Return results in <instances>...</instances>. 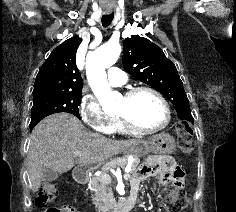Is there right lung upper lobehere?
Returning a JSON list of instances; mask_svg holds the SVG:
<instances>
[{
    "label": "right lung upper lobe",
    "instance_id": "cb5924a9",
    "mask_svg": "<svg viewBox=\"0 0 236 212\" xmlns=\"http://www.w3.org/2000/svg\"><path fill=\"white\" fill-rule=\"evenodd\" d=\"M82 38L73 36L57 46L40 67L33 96L47 92H81L82 78L76 66V52Z\"/></svg>",
    "mask_w": 236,
    "mask_h": 212
}]
</instances>
